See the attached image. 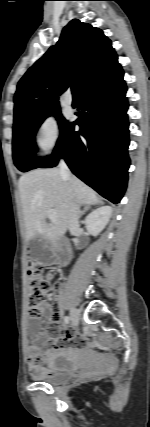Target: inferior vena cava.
Instances as JSON below:
<instances>
[{"label":"inferior vena cava","mask_w":150,"mask_h":427,"mask_svg":"<svg viewBox=\"0 0 150 427\" xmlns=\"http://www.w3.org/2000/svg\"><path fill=\"white\" fill-rule=\"evenodd\" d=\"M59 167L61 176L71 181V173L64 160H61ZM81 213L82 212L80 211V206L76 203L73 204L69 210V224L78 223Z\"/></svg>","instance_id":"inferior-vena-cava-1"}]
</instances>
